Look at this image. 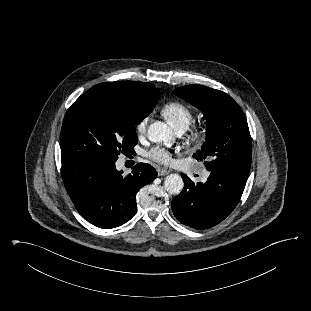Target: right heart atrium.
<instances>
[{
  "mask_svg": "<svg viewBox=\"0 0 311 311\" xmlns=\"http://www.w3.org/2000/svg\"><path fill=\"white\" fill-rule=\"evenodd\" d=\"M148 118H141L135 125V129L138 135H143L147 129Z\"/></svg>",
  "mask_w": 311,
  "mask_h": 311,
  "instance_id": "right-heart-atrium-1",
  "label": "right heart atrium"
}]
</instances>
